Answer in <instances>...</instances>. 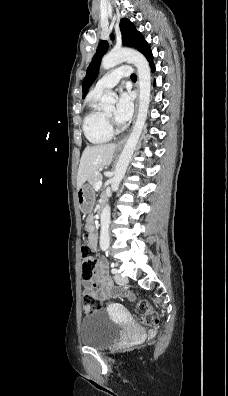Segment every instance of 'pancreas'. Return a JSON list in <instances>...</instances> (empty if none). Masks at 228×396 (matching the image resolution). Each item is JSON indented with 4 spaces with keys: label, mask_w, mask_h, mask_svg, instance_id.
<instances>
[{
    "label": "pancreas",
    "mask_w": 228,
    "mask_h": 396,
    "mask_svg": "<svg viewBox=\"0 0 228 396\" xmlns=\"http://www.w3.org/2000/svg\"><path fill=\"white\" fill-rule=\"evenodd\" d=\"M102 181V174L95 173L91 178H89L88 182L92 188H95L97 182Z\"/></svg>",
    "instance_id": "obj_1"
}]
</instances>
